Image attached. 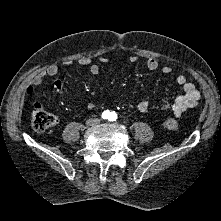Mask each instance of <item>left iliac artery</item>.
<instances>
[{"label": "left iliac artery", "mask_w": 221, "mask_h": 221, "mask_svg": "<svg viewBox=\"0 0 221 221\" xmlns=\"http://www.w3.org/2000/svg\"><path fill=\"white\" fill-rule=\"evenodd\" d=\"M117 119V114L113 111L110 113V116H109V120L110 121H116Z\"/></svg>", "instance_id": "1"}]
</instances>
